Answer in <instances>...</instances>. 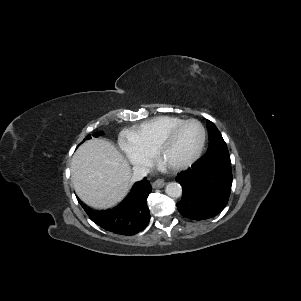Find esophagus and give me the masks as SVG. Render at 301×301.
I'll return each instance as SVG.
<instances>
[{
    "instance_id": "obj_1",
    "label": "esophagus",
    "mask_w": 301,
    "mask_h": 301,
    "mask_svg": "<svg viewBox=\"0 0 301 301\" xmlns=\"http://www.w3.org/2000/svg\"><path fill=\"white\" fill-rule=\"evenodd\" d=\"M166 185V181L164 179H156L153 182V187L154 188H162Z\"/></svg>"
}]
</instances>
